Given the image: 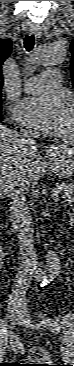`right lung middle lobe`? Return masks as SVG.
<instances>
[{
  "label": "right lung middle lobe",
  "mask_w": 74,
  "mask_h": 366,
  "mask_svg": "<svg viewBox=\"0 0 74 366\" xmlns=\"http://www.w3.org/2000/svg\"><path fill=\"white\" fill-rule=\"evenodd\" d=\"M0 100H1V94H0ZM0 111H1V107H0Z\"/></svg>",
  "instance_id": "1"
}]
</instances>
